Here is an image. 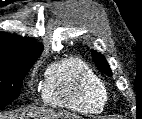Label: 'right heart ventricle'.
<instances>
[{"label": "right heart ventricle", "instance_id": "right-heart-ventricle-1", "mask_svg": "<svg viewBox=\"0 0 142 119\" xmlns=\"http://www.w3.org/2000/svg\"><path fill=\"white\" fill-rule=\"evenodd\" d=\"M42 97L48 105L92 114L103 109L108 94L101 78L82 60L71 57L47 69Z\"/></svg>", "mask_w": 142, "mask_h": 119}]
</instances>
